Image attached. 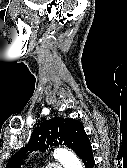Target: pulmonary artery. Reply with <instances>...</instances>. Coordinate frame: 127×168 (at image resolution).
Wrapping results in <instances>:
<instances>
[{
	"label": "pulmonary artery",
	"mask_w": 127,
	"mask_h": 168,
	"mask_svg": "<svg viewBox=\"0 0 127 168\" xmlns=\"http://www.w3.org/2000/svg\"><path fill=\"white\" fill-rule=\"evenodd\" d=\"M47 168H62L60 164L52 163Z\"/></svg>",
	"instance_id": "obj_1"
}]
</instances>
